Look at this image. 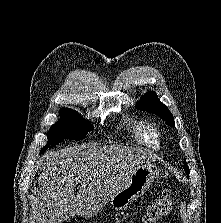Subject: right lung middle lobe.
Masks as SVG:
<instances>
[{"label": "right lung middle lobe", "mask_w": 221, "mask_h": 223, "mask_svg": "<svg viewBox=\"0 0 221 223\" xmlns=\"http://www.w3.org/2000/svg\"><path fill=\"white\" fill-rule=\"evenodd\" d=\"M60 120L50 128L48 142L41 149L40 154L48 147H54L64 140H81L93 129L90 122L83 119L78 112L62 108L59 112Z\"/></svg>", "instance_id": "obj_1"}]
</instances>
